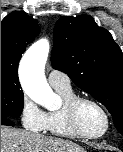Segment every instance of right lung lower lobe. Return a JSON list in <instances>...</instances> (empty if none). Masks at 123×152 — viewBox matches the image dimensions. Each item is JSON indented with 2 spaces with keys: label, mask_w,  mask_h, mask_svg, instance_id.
<instances>
[{
  "label": "right lung lower lobe",
  "mask_w": 123,
  "mask_h": 152,
  "mask_svg": "<svg viewBox=\"0 0 123 152\" xmlns=\"http://www.w3.org/2000/svg\"><path fill=\"white\" fill-rule=\"evenodd\" d=\"M1 125L14 126V123L8 118H1Z\"/></svg>",
  "instance_id": "obj_1"
}]
</instances>
